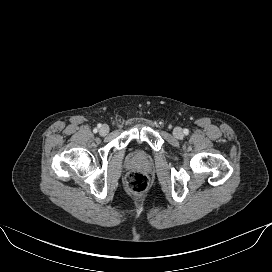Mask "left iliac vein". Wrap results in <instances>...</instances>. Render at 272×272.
<instances>
[{"label": "left iliac vein", "instance_id": "1", "mask_svg": "<svg viewBox=\"0 0 272 272\" xmlns=\"http://www.w3.org/2000/svg\"><path fill=\"white\" fill-rule=\"evenodd\" d=\"M173 135L176 137V138H182L183 137V131L180 127H176L174 128L173 130Z\"/></svg>", "mask_w": 272, "mask_h": 272}]
</instances>
